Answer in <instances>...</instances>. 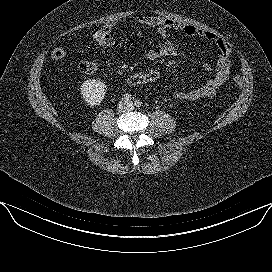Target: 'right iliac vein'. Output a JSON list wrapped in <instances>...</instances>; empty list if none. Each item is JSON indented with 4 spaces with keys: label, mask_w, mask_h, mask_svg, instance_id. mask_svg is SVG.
<instances>
[{
    "label": "right iliac vein",
    "mask_w": 272,
    "mask_h": 272,
    "mask_svg": "<svg viewBox=\"0 0 272 272\" xmlns=\"http://www.w3.org/2000/svg\"><path fill=\"white\" fill-rule=\"evenodd\" d=\"M118 111L119 112H124L127 108V104L123 101H121L119 104H118Z\"/></svg>",
    "instance_id": "obj_1"
}]
</instances>
